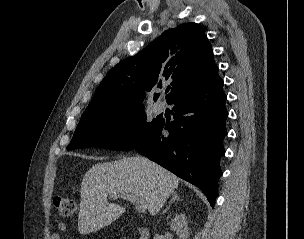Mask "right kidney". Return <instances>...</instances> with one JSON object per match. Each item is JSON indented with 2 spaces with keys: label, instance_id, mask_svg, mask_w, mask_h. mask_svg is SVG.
<instances>
[{
  "label": "right kidney",
  "instance_id": "right-kidney-1",
  "mask_svg": "<svg viewBox=\"0 0 304 239\" xmlns=\"http://www.w3.org/2000/svg\"><path fill=\"white\" fill-rule=\"evenodd\" d=\"M171 229L176 232L179 239H188L189 238V230L187 226V220L184 214L176 215L175 218L172 219Z\"/></svg>",
  "mask_w": 304,
  "mask_h": 239
}]
</instances>
